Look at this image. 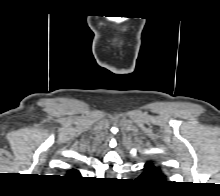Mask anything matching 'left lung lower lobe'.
<instances>
[{"mask_svg": "<svg viewBox=\"0 0 220 196\" xmlns=\"http://www.w3.org/2000/svg\"><path fill=\"white\" fill-rule=\"evenodd\" d=\"M138 179L146 183H160L165 182V175L160 168L154 166L152 162H147L144 167V172Z\"/></svg>", "mask_w": 220, "mask_h": 196, "instance_id": "0a47b994", "label": "left lung lower lobe"}]
</instances>
